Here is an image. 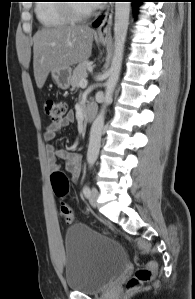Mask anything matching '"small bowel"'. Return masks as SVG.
<instances>
[{"instance_id": "c3829d8e", "label": "small bowel", "mask_w": 195, "mask_h": 299, "mask_svg": "<svg viewBox=\"0 0 195 299\" xmlns=\"http://www.w3.org/2000/svg\"><path fill=\"white\" fill-rule=\"evenodd\" d=\"M74 120V115L69 113L59 122L50 123L44 133V138L46 140H52L62 128L68 127ZM48 154L53 159H59L66 162V170L72 174L74 181H77L81 175L82 159L81 155L76 152H71L67 149L56 148L53 145L47 147ZM51 164L56 165L55 161H52Z\"/></svg>"}]
</instances>
